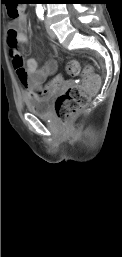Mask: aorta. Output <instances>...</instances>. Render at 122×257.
I'll return each instance as SVG.
<instances>
[{
  "label": "aorta",
  "instance_id": "obj_1",
  "mask_svg": "<svg viewBox=\"0 0 122 257\" xmlns=\"http://www.w3.org/2000/svg\"><path fill=\"white\" fill-rule=\"evenodd\" d=\"M36 11L37 12H43L44 11L42 4H37Z\"/></svg>",
  "mask_w": 122,
  "mask_h": 257
}]
</instances>
